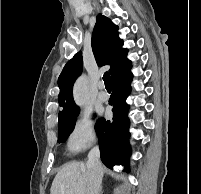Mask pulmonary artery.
<instances>
[{"mask_svg": "<svg viewBox=\"0 0 201 194\" xmlns=\"http://www.w3.org/2000/svg\"><path fill=\"white\" fill-rule=\"evenodd\" d=\"M109 98L108 93L105 91L104 86L101 85V90L98 93V99L102 102L107 101Z\"/></svg>", "mask_w": 201, "mask_h": 194, "instance_id": "e3ab8cb5", "label": "pulmonary artery"}]
</instances>
